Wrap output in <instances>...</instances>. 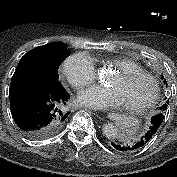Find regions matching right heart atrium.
Returning a JSON list of instances; mask_svg holds the SVG:
<instances>
[{"instance_id":"d8ad5b80","label":"right heart atrium","mask_w":177,"mask_h":177,"mask_svg":"<svg viewBox=\"0 0 177 177\" xmlns=\"http://www.w3.org/2000/svg\"><path fill=\"white\" fill-rule=\"evenodd\" d=\"M62 71L68 82L76 89L89 85L96 78L95 64L86 53L68 56L63 62Z\"/></svg>"}]
</instances>
